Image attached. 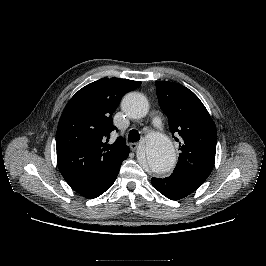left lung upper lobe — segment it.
Wrapping results in <instances>:
<instances>
[{
    "label": "left lung upper lobe",
    "mask_w": 266,
    "mask_h": 266,
    "mask_svg": "<svg viewBox=\"0 0 266 266\" xmlns=\"http://www.w3.org/2000/svg\"><path fill=\"white\" fill-rule=\"evenodd\" d=\"M161 109L168 117L172 134L179 138L180 154L172 174L202 184L215 161L217 132L215 124L200 99L178 83L157 81Z\"/></svg>",
    "instance_id": "5c2ea615"
}]
</instances>
